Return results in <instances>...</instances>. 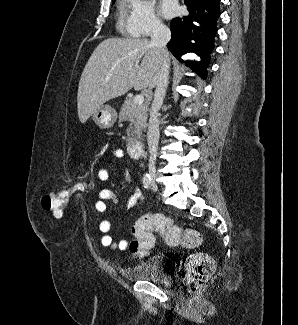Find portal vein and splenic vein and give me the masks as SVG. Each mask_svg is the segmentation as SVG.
Here are the masks:
<instances>
[{
    "mask_svg": "<svg viewBox=\"0 0 298 325\" xmlns=\"http://www.w3.org/2000/svg\"><path fill=\"white\" fill-rule=\"evenodd\" d=\"M134 104H142L144 102V96L143 94H135L133 98Z\"/></svg>",
    "mask_w": 298,
    "mask_h": 325,
    "instance_id": "1",
    "label": "portal vein and splenic vein"
}]
</instances>
